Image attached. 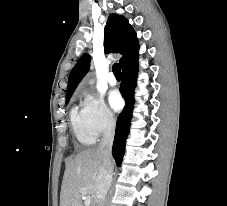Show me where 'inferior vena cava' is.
I'll list each match as a JSON object with an SVG mask.
<instances>
[{
  "label": "inferior vena cava",
  "instance_id": "602c4592",
  "mask_svg": "<svg viewBox=\"0 0 227 206\" xmlns=\"http://www.w3.org/2000/svg\"><path fill=\"white\" fill-rule=\"evenodd\" d=\"M115 134V119L113 115H110L104 135L97 148L98 152L102 155L103 164L100 168L97 181L95 184V194H94V205L103 206L107 192L111 186L112 176H113V165H112V145Z\"/></svg>",
  "mask_w": 227,
  "mask_h": 206
}]
</instances>
